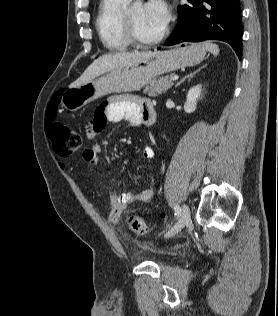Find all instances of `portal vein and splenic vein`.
Listing matches in <instances>:
<instances>
[{"mask_svg":"<svg viewBox=\"0 0 278 316\" xmlns=\"http://www.w3.org/2000/svg\"><path fill=\"white\" fill-rule=\"evenodd\" d=\"M178 76L176 75V76H173L171 79H172V81H176V80H178Z\"/></svg>","mask_w":278,"mask_h":316,"instance_id":"obj_1","label":"portal vein and splenic vein"}]
</instances>
